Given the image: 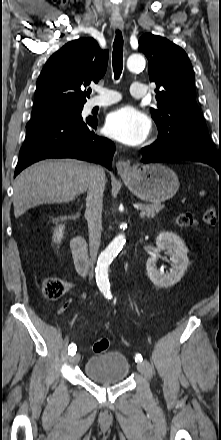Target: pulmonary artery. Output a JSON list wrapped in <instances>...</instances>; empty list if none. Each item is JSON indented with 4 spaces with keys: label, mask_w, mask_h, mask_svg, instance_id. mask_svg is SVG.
<instances>
[{
    "label": "pulmonary artery",
    "mask_w": 221,
    "mask_h": 440,
    "mask_svg": "<svg viewBox=\"0 0 221 440\" xmlns=\"http://www.w3.org/2000/svg\"><path fill=\"white\" fill-rule=\"evenodd\" d=\"M98 92L99 96L90 99L86 103V110H91L95 107H106L121 99V96L117 92L108 88H100ZM130 94L135 98H143L147 94V89L143 84L134 82L130 86Z\"/></svg>",
    "instance_id": "pulmonary-artery-1"
}]
</instances>
